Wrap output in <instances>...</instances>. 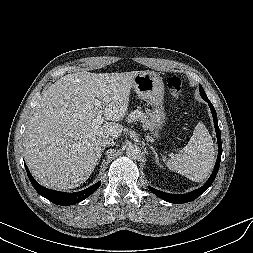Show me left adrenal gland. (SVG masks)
<instances>
[{
	"instance_id": "left-adrenal-gland-1",
	"label": "left adrenal gland",
	"mask_w": 253,
	"mask_h": 253,
	"mask_svg": "<svg viewBox=\"0 0 253 253\" xmlns=\"http://www.w3.org/2000/svg\"><path fill=\"white\" fill-rule=\"evenodd\" d=\"M149 148L152 150L153 154H154V159H155V162L158 166L162 167V165L159 163V158H158V154L157 152L155 151L154 147L151 146V145H148Z\"/></svg>"
}]
</instances>
